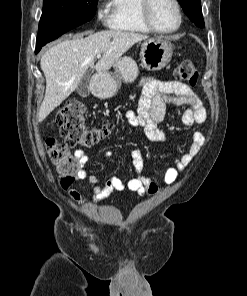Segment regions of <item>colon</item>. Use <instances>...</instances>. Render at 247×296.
<instances>
[{"label": "colon", "mask_w": 247, "mask_h": 296, "mask_svg": "<svg viewBox=\"0 0 247 296\" xmlns=\"http://www.w3.org/2000/svg\"><path fill=\"white\" fill-rule=\"evenodd\" d=\"M178 80L195 86L198 81V71L188 60L182 61L175 70ZM86 109L78 100H71L64 104L56 113V123L65 140V145L54 139L47 141L49 156L55 165L59 182L66 188L72 185L79 171V160L72 155L69 148H87L97 144L112 131V125L107 124L99 128H89L85 120Z\"/></svg>", "instance_id": "1"}]
</instances>
